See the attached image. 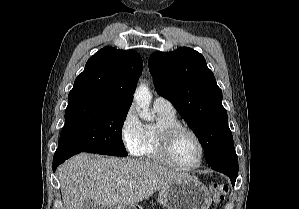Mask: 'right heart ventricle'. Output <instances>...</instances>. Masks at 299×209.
Segmentation results:
<instances>
[{
	"instance_id": "1",
	"label": "right heart ventricle",
	"mask_w": 299,
	"mask_h": 209,
	"mask_svg": "<svg viewBox=\"0 0 299 209\" xmlns=\"http://www.w3.org/2000/svg\"><path fill=\"white\" fill-rule=\"evenodd\" d=\"M155 111L158 115V121L155 125L143 126V140L137 155L149 160L163 163L158 151V133L160 129L180 124V122L177 119L176 114L165 113L157 109H155Z\"/></svg>"
}]
</instances>
